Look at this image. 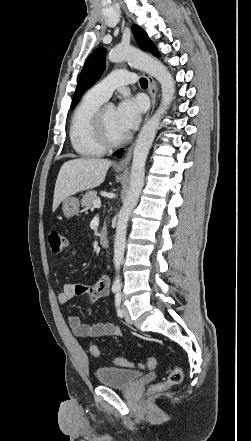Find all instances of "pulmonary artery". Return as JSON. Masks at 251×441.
<instances>
[{"mask_svg": "<svg viewBox=\"0 0 251 441\" xmlns=\"http://www.w3.org/2000/svg\"><path fill=\"white\" fill-rule=\"evenodd\" d=\"M135 82V74L126 70H115L95 84L91 90L107 100L114 90Z\"/></svg>", "mask_w": 251, "mask_h": 441, "instance_id": "pulmonary-artery-1", "label": "pulmonary artery"}]
</instances>
